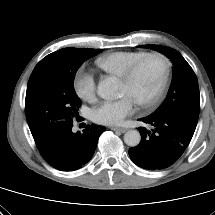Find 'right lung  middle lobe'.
<instances>
[{"label":"right lung middle lobe","instance_id":"obj_1","mask_svg":"<svg viewBox=\"0 0 215 215\" xmlns=\"http://www.w3.org/2000/svg\"><path fill=\"white\" fill-rule=\"evenodd\" d=\"M102 49L63 48L34 68L26 91V119L36 144L73 124L81 105L73 81L78 68Z\"/></svg>","mask_w":215,"mask_h":215}]
</instances>
